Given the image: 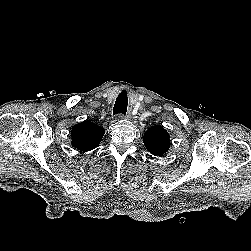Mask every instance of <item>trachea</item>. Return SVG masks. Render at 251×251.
<instances>
[{
	"instance_id": "3493384b",
	"label": "trachea",
	"mask_w": 251,
	"mask_h": 251,
	"mask_svg": "<svg viewBox=\"0 0 251 251\" xmlns=\"http://www.w3.org/2000/svg\"><path fill=\"white\" fill-rule=\"evenodd\" d=\"M127 105H128L127 92L123 90L121 93H119L118 97L116 98L113 107V115L125 114L127 111Z\"/></svg>"
}]
</instances>
